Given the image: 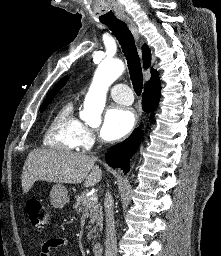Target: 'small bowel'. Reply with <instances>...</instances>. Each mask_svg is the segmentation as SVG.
Returning a JSON list of instances; mask_svg holds the SVG:
<instances>
[{"label":"small bowel","mask_w":221,"mask_h":256,"mask_svg":"<svg viewBox=\"0 0 221 256\" xmlns=\"http://www.w3.org/2000/svg\"><path fill=\"white\" fill-rule=\"evenodd\" d=\"M69 242L66 238H51L45 241L40 250V256H52L55 250H64Z\"/></svg>","instance_id":"small-bowel-1"}]
</instances>
